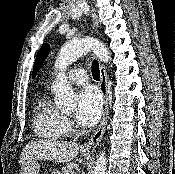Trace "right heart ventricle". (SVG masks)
<instances>
[{"label":"right heart ventricle","instance_id":"e07e8e85","mask_svg":"<svg viewBox=\"0 0 175 174\" xmlns=\"http://www.w3.org/2000/svg\"><path fill=\"white\" fill-rule=\"evenodd\" d=\"M33 129L45 140H61L67 135L66 118L47 95L40 96L35 104Z\"/></svg>","mask_w":175,"mask_h":174}]
</instances>
